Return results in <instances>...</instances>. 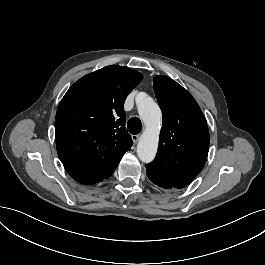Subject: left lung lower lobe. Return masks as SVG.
<instances>
[{
    "label": "left lung lower lobe",
    "mask_w": 265,
    "mask_h": 265,
    "mask_svg": "<svg viewBox=\"0 0 265 265\" xmlns=\"http://www.w3.org/2000/svg\"><path fill=\"white\" fill-rule=\"evenodd\" d=\"M148 177H149V179H150L154 184H156L157 186L162 187V188H164V189H171L170 187H167V186L163 185V184H162L161 182H159L158 180L153 179V178H151L150 176H148Z\"/></svg>",
    "instance_id": "0a47b994"
}]
</instances>
